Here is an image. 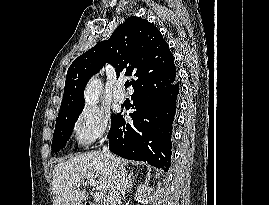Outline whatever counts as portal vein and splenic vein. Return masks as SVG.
I'll use <instances>...</instances> for the list:
<instances>
[{"label": "portal vein and splenic vein", "instance_id": "portal-vein-and-splenic-vein-1", "mask_svg": "<svg viewBox=\"0 0 269 205\" xmlns=\"http://www.w3.org/2000/svg\"><path fill=\"white\" fill-rule=\"evenodd\" d=\"M85 183L95 187L96 186V181L94 179H88L85 181ZM104 194L102 192H96L95 195H94V199L95 201H100L102 200Z\"/></svg>", "mask_w": 269, "mask_h": 205}]
</instances>
